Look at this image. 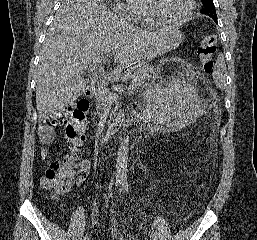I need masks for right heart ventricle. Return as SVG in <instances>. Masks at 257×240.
<instances>
[{
    "label": "right heart ventricle",
    "mask_w": 257,
    "mask_h": 240,
    "mask_svg": "<svg viewBox=\"0 0 257 240\" xmlns=\"http://www.w3.org/2000/svg\"><path fill=\"white\" fill-rule=\"evenodd\" d=\"M130 4L135 11L134 20L138 24L147 28H154L160 25L150 16L147 9L146 0H132Z\"/></svg>",
    "instance_id": "obj_1"
}]
</instances>
